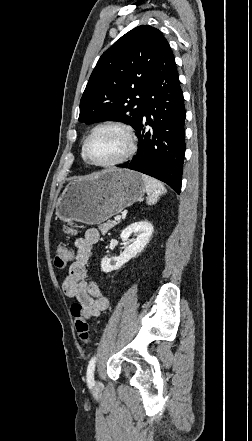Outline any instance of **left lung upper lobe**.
I'll return each mask as SVG.
<instances>
[{
  "label": "left lung upper lobe",
  "instance_id": "1",
  "mask_svg": "<svg viewBox=\"0 0 252 441\" xmlns=\"http://www.w3.org/2000/svg\"><path fill=\"white\" fill-rule=\"evenodd\" d=\"M166 39L151 26H138L98 60L80 101L79 121H122L137 130L146 93Z\"/></svg>",
  "mask_w": 252,
  "mask_h": 441
}]
</instances>
